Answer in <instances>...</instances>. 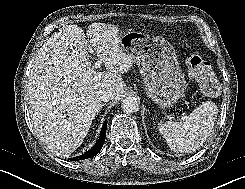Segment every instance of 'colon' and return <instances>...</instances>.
<instances>
[{
    "label": "colon",
    "mask_w": 245,
    "mask_h": 189,
    "mask_svg": "<svg viewBox=\"0 0 245 189\" xmlns=\"http://www.w3.org/2000/svg\"><path fill=\"white\" fill-rule=\"evenodd\" d=\"M187 65L191 76L210 94L220 90V83L211 64L200 56H189Z\"/></svg>",
    "instance_id": "1"
}]
</instances>
